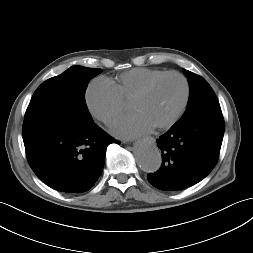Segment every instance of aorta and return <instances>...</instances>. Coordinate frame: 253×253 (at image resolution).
I'll use <instances>...</instances> for the list:
<instances>
[{"instance_id":"obj_1","label":"aorta","mask_w":253,"mask_h":253,"mask_svg":"<svg viewBox=\"0 0 253 253\" xmlns=\"http://www.w3.org/2000/svg\"><path fill=\"white\" fill-rule=\"evenodd\" d=\"M134 155L138 166L144 172L153 173L161 167V152L152 139H144L136 143Z\"/></svg>"}]
</instances>
